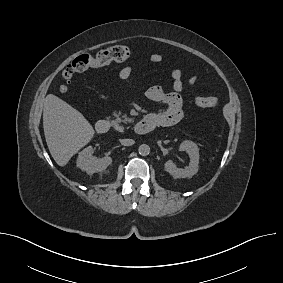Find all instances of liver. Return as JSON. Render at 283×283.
Here are the masks:
<instances>
[{
    "mask_svg": "<svg viewBox=\"0 0 283 283\" xmlns=\"http://www.w3.org/2000/svg\"><path fill=\"white\" fill-rule=\"evenodd\" d=\"M43 128L50 154L59 166H65L94 136L85 117L53 94L44 100Z\"/></svg>",
    "mask_w": 283,
    "mask_h": 283,
    "instance_id": "1",
    "label": "liver"
}]
</instances>
